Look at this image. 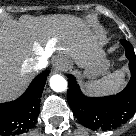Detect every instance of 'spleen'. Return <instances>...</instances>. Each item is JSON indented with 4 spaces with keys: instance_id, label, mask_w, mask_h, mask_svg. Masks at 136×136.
I'll return each mask as SVG.
<instances>
[{
    "instance_id": "3e777b00",
    "label": "spleen",
    "mask_w": 136,
    "mask_h": 136,
    "mask_svg": "<svg viewBox=\"0 0 136 136\" xmlns=\"http://www.w3.org/2000/svg\"><path fill=\"white\" fill-rule=\"evenodd\" d=\"M122 83V77L119 73L109 74L105 76L101 80L94 81L88 84V90L90 92L102 93V92H110L112 90L117 89Z\"/></svg>"
}]
</instances>
